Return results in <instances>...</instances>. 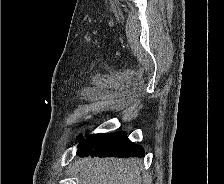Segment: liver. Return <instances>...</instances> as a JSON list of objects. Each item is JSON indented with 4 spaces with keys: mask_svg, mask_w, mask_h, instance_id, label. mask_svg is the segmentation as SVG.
I'll return each instance as SVG.
<instances>
[{
    "mask_svg": "<svg viewBox=\"0 0 224 184\" xmlns=\"http://www.w3.org/2000/svg\"><path fill=\"white\" fill-rule=\"evenodd\" d=\"M79 184H141V167L135 159L87 158L75 162Z\"/></svg>",
    "mask_w": 224,
    "mask_h": 184,
    "instance_id": "6515ba94",
    "label": "liver"
}]
</instances>
